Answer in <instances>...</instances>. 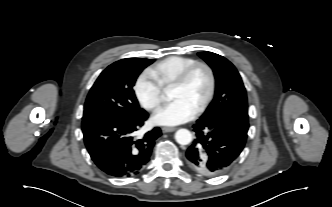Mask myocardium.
Instances as JSON below:
<instances>
[{
    "instance_id": "obj_1",
    "label": "myocardium",
    "mask_w": 332,
    "mask_h": 207,
    "mask_svg": "<svg viewBox=\"0 0 332 207\" xmlns=\"http://www.w3.org/2000/svg\"><path fill=\"white\" fill-rule=\"evenodd\" d=\"M204 69L208 75L209 78V87L208 91L200 103V105L197 107L195 114H200L206 110V108L211 103L215 91H216V75L213 70V68L206 62H195L194 64L187 67L172 83L171 87H183L190 77L193 75V73L198 69Z\"/></svg>"
}]
</instances>
